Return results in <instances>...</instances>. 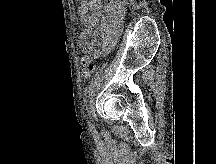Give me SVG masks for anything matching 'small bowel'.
I'll return each mask as SVG.
<instances>
[{"mask_svg":"<svg viewBox=\"0 0 216 164\" xmlns=\"http://www.w3.org/2000/svg\"><path fill=\"white\" fill-rule=\"evenodd\" d=\"M107 15H103V0H82L79 9L83 31L79 45L83 54L99 56L107 52L115 43L120 32L121 24L126 12V0H104ZM103 38L101 51L95 50L96 36ZM92 37V39H90ZM82 58V62L88 60Z\"/></svg>","mask_w":216,"mask_h":164,"instance_id":"small-bowel-1","label":"small bowel"}]
</instances>
